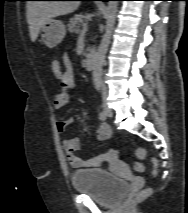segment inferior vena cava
Listing matches in <instances>:
<instances>
[{
  "label": "inferior vena cava",
  "mask_w": 188,
  "mask_h": 213,
  "mask_svg": "<svg viewBox=\"0 0 188 213\" xmlns=\"http://www.w3.org/2000/svg\"><path fill=\"white\" fill-rule=\"evenodd\" d=\"M102 90H103V93L105 94L106 93V87L104 85H102Z\"/></svg>",
  "instance_id": "inferior-vena-cava-1"
}]
</instances>
